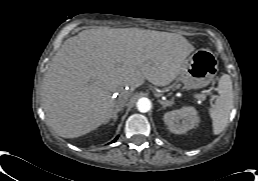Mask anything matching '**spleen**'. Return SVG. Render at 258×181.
<instances>
[{
  "label": "spleen",
  "mask_w": 258,
  "mask_h": 181,
  "mask_svg": "<svg viewBox=\"0 0 258 181\" xmlns=\"http://www.w3.org/2000/svg\"><path fill=\"white\" fill-rule=\"evenodd\" d=\"M217 91L219 96L215 103L209 108V114L213 124V133L215 135L220 134L224 130L233 108V86L228 74L221 76Z\"/></svg>",
  "instance_id": "3e777b00"
}]
</instances>
